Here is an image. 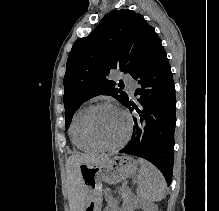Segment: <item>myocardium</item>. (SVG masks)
<instances>
[{"label": "myocardium", "mask_w": 219, "mask_h": 211, "mask_svg": "<svg viewBox=\"0 0 219 211\" xmlns=\"http://www.w3.org/2000/svg\"><path fill=\"white\" fill-rule=\"evenodd\" d=\"M101 107L114 108L117 111H119L126 119L127 128H126L125 134L117 143H114V144L104 143V142L100 141L99 139H97V137L93 133L92 117H93L94 112ZM132 125H133V122H132V118L129 115V113H127L124 109H122L118 105H116L112 102H109V101L98 102V103L90 106L85 114L84 121H83V128H84L85 136L93 145H95L101 149H116V148L123 146L128 141V139L130 137Z\"/></svg>", "instance_id": "obj_1"}]
</instances>
